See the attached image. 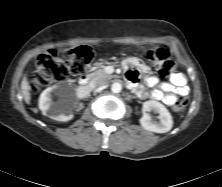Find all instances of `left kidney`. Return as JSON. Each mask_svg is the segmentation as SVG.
<instances>
[{
    "mask_svg": "<svg viewBox=\"0 0 222 187\" xmlns=\"http://www.w3.org/2000/svg\"><path fill=\"white\" fill-rule=\"evenodd\" d=\"M150 111L158 114V121L151 117L148 113ZM142 112L143 116L140 118V124L144 129L156 133H165L171 130L173 126L172 116L160 102L154 100L144 102Z\"/></svg>",
    "mask_w": 222,
    "mask_h": 187,
    "instance_id": "obj_1",
    "label": "left kidney"
}]
</instances>
